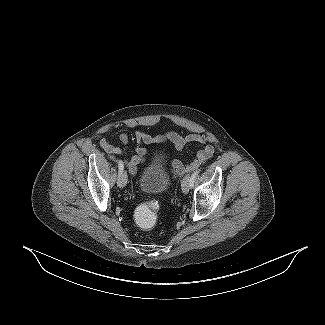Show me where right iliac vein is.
I'll return each mask as SVG.
<instances>
[{
	"label": "right iliac vein",
	"mask_w": 325,
	"mask_h": 325,
	"mask_svg": "<svg viewBox=\"0 0 325 325\" xmlns=\"http://www.w3.org/2000/svg\"><path fill=\"white\" fill-rule=\"evenodd\" d=\"M127 184V173L125 171H122V173L118 176V186L120 188L125 187Z\"/></svg>",
	"instance_id": "63e3f726"
}]
</instances>
